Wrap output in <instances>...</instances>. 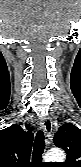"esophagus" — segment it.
<instances>
[{
	"instance_id": "1",
	"label": "esophagus",
	"mask_w": 81,
	"mask_h": 167,
	"mask_svg": "<svg viewBox=\"0 0 81 167\" xmlns=\"http://www.w3.org/2000/svg\"><path fill=\"white\" fill-rule=\"evenodd\" d=\"M40 127L45 133V136L47 138V142H49V139L51 138L52 135V120L49 117H46L41 120L40 122Z\"/></svg>"
}]
</instances>
